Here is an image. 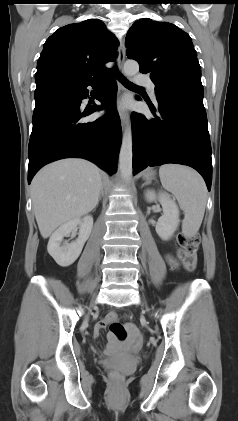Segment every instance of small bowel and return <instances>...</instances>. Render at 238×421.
Instances as JSON below:
<instances>
[{"instance_id":"small-bowel-1","label":"small bowel","mask_w":238,"mask_h":421,"mask_svg":"<svg viewBox=\"0 0 238 421\" xmlns=\"http://www.w3.org/2000/svg\"><path fill=\"white\" fill-rule=\"evenodd\" d=\"M167 262L169 263V265L171 266V267H177V265H178V263H177V261H176V259L173 257V256H171V255H168L167 256ZM115 313L114 312H110V313H108L106 316H105V318H103L102 320H100L96 325H95V328H94V334H95V336H98L99 334H100V332L107 326V324H108V322H109V318L112 316V315H114ZM128 328H129V330H130V332H131V336H132V339L133 340H137L138 339V331H137V328L133 325V324H129L128 325Z\"/></svg>"}]
</instances>
